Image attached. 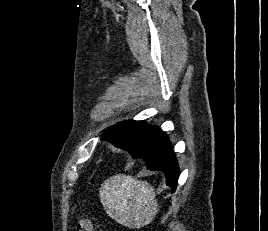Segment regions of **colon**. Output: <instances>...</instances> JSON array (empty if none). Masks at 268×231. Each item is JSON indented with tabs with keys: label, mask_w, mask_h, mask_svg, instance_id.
Returning <instances> with one entry per match:
<instances>
[{
	"label": "colon",
	"mask_w": 268,
	"mask_h": 231,
	"mask_svg": "<svg viewBox=\"0 0 268 231\" xmlns=\"http://www.w3.org/2000/svg\"><path fill=\"white\" fill-rule=\"evenodd\" d=\"M95 226L93 223L86 219L80 218L76 223V231H95Z\"/></svg>",
	"instance_id": "colon-1"
}]
</instances>
